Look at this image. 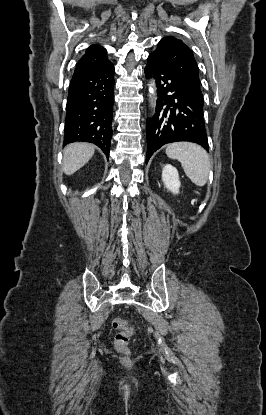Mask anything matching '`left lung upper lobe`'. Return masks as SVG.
Instances as JSON below:
<instances>
[{
    "mask_svg": "<svg viewBox=\"0 0 266 415\" xmlns=\"http://www.w3.org/2000/svg\"><path fill=\"white\" fill-rule=\"evenodd\" d=\"M153 54L203 103L198 65L192 50L182 40L164 37Z\"/></svg>",
    "mask_w": 266,
    "mask_h": 415,
    "instance_id": "left-lung-upper-lobe-1",
    "label": "left lung upper lobe"
}]
</instances>
